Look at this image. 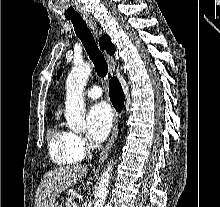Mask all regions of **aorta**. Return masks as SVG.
I'll list each match as a JSON object with an SVG mask.
<instances>
[{
  "instance_id": "obj_1",
  "label": "aorta",
  "mask_w": 220,
  "mask_h": 207,
  "mask_svg": "<svg viewBox=\"0 0 220 207\" xmlns=\"http://www.w3.org/2000/svg\"><path fill=\"white\" fill-rule=\"evenodd\" d=\"M90 73L91 66L89 64L77 63L66 80L65 118L68 128L78 132L86 129L83 91ZM112 170L113 162H110L99 179L94 207H104Z\"/></svg>"
}]
</instances>
